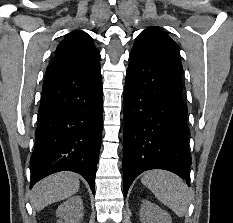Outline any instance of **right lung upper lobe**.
Returning a JSON list of instances; mask_svg holds the SVG:
<instances>
[{"label":"right lung upper lobe","instance_id":"obj_1","mask_svg":"<svg viewBox=\"0 0 233 223\" xmlns=\"http://www.w3.org/2000/svg\"><path fill=\"white\" fill-rule=\"evenodd\" d=\"M100 64V53L92 38L83 31H73L59 43L55 59L49 64L45 78L85 70Z\"/></svg>","mask_w":233,"mask_h":223}]
</instances>
